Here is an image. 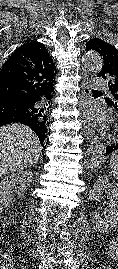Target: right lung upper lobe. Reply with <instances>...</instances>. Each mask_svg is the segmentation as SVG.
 <instances>
[{
  "mask_svg": "<svg viewBox=\"0 0 118 269\" xmlns=\"http://www.w3.org/2000/svg\"><path fill=\"white\" fill-rule=\"evenodd\" d=\"M56 73L46 47L39 42H28L19 47L0 71V96L16 95L37 102L38 109L31 127L40 140H45L48 132Z\"/></svg>",
  "mask_w": 118,
  "mask_h": 269,
  "instance_id": "right-lung-upper-lobe-1",
  "label": "right lung upper lobe"
}]
</instances>
